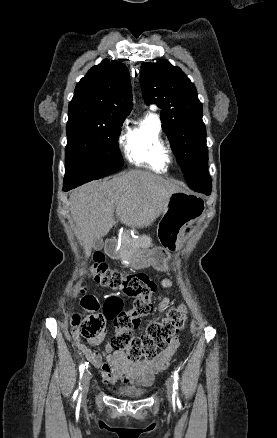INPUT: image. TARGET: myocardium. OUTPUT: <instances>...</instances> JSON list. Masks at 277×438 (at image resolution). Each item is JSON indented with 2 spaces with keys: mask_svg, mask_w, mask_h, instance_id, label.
I'll use <instances>...</instances> for the list:
<instances>
[{
  "mask_svg": "<svg viewBox=\"0 0 277 438\" xmlns=\"http://www.w3.org/2000/svg\"><path fill=\"white\" fill-rule=\"evenodd\" d=\"M173 153L167 149L166 153H165V160L166 162H170L173 159Z\"/></svg>",
  "mask_w": 277,
  "mask_h": 438,
  "instance_id": "1",
  "label": "myocardium"
}]
</instances>
